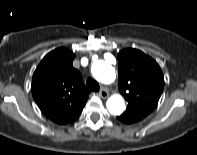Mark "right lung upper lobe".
Returning <instances> with one entry per match:
<instances>
[{"label": "right lung upper lobe", "mask_w": 197, "mask_h": 155, "mask_svg": "<svg viewBox=\"0 0 197 155\" xmlns=\"http://www.w3.org/2000/svg\"><path fill=\"white\" fill-rule=\"evenodd\" d=\"M74 57L66 48L55 49L33 74L31 89L36 104L47 118L60 125L80 116L90 93L72 65Z\"/></svg>", "instance_id": "cb5924a9"}]
</instances>
